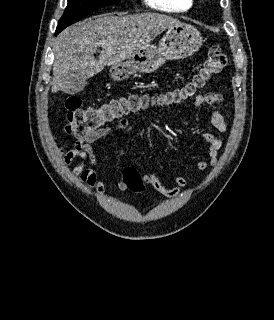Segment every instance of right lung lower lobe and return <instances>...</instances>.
Listing matches in <instances>:
<instances>
[{
  "mask_svg": "<svg viewBox=\"0 0 274 320\" xmlns=\"http://www.w3.org/2000/svg\"><path fill=\"white\" fill-rule=\"evenodd\" d=\"M57 34H58V32L56 31L55 35H57Z\"/></svg>",
  "mask_w": 274,
  "mask_h": 320,
  "instance_id": "1",
  "label": "right lung lower lobe"
}]
</instances>
